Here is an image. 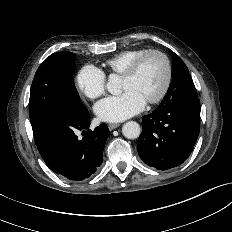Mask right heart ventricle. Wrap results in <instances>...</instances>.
Here are the masks:
<instances>
[{"instance_id":"1","label":"right heart ventricle","mask_w":232,"mask_h":232,"mask_svg":"<svg viewBox=\"0 0 232 232\" xmlns=\"http://www.w3.org/2000/svg\"><path fill=\"white\" fill-rule=\"evenodd\" d=\"M147 49H130L122 51L105 61L104 66L109 73L122 75L128 66Z\"/></svg>"}]
</instances>
